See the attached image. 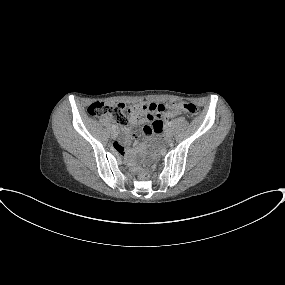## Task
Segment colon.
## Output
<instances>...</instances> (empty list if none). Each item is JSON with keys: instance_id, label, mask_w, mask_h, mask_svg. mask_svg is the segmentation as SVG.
I'll list each match as a JSON object with an SVG mask.
<instances>
[{"instance_id": "1", "label": "colon", "mask_w": 285, "mask_h": 285, "mask_svg": "<svg viewBox=\"0 0 285 285\" xmlns=\"http://www.w3.org/2000/svg\"><path fill=\"white\" fill-rule=\"evenodd\" d=\"M87 112L91 117L108 118L117 125L124 127L128 124L131 117L146 115L148 113V105L141 102L127 107L122 103L94 102L89 105ZM181 112H185L188 115H195L197 109L190 102L169 103L165 106V113L163 115H156L154 117L164 119L178 115ZM135 172L140 178L149 177V173L142 168L135 169Z\"/></svg>"}]
</instances>
